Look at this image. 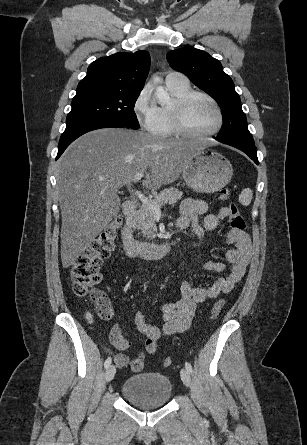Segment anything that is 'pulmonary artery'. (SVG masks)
I'll return each instance as SVG.
<instances>
[{
	"mask_svg": "<svg viewBox=\"0 0 307 445\" xmlns=\"http://www.w3.org/2000/svg\"><path fill=\"white\" fill-rule=\"evenodd\" d=\"M181 77H182V74L180 71H169L167 81L168 80H180Z\"/></svg>",
	"mask_w": 307,
	"mask_h": 445,
	"instance_id": "e3ab8cb5",
	"label": "pulmonary artery"
}]
</instances>
